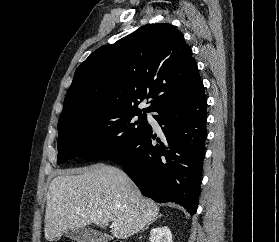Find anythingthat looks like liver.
Returning <instances> with one entry per match:
<instances>
[{
	"label": "liver",
	"mask_w": 279,
	"mask_h": 242,
	"mask_svg": "<svg viewBox=\"0 0 279 242\" xmlns=\"http://www.w3.org/2000/svg\"><path fill=\"white\" fill-rule=\"evenodd\" d=\"M98 213L102 216L98 217ZM159 207L144 198L119 168L97 164L61 171L49 186L45 212V238L52 241L67 230L95 224L126 239L157 218Z\"/></svg>",
	"instance_id": "6515ba94"
}]
</instances>
